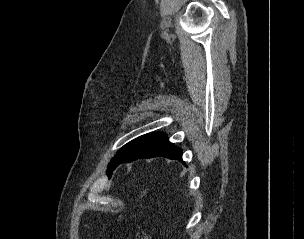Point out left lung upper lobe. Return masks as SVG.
Segmentation results:
<instances>
[{
  "label": "left lung upper lobe",
  "mask_w": 304,
  "mask_h": 239,
  "mask_svg": "<svg viewBox=\"0 0 304 239\" xmlns=\"http://www.w3.org/2000/svg\"><path fill=\"white\" fill-rule=\"evenodd\" d=\"M147 136H149V135L140 136V137L130 141L126 145H124L116 153L115 157L111 159V162L108 165V169H107L106 174L110 177L112 175V171H114L115 168L118 166V163L121 160V158H123L135 145H137L140 141L145 139Z\"/></svg>",
  "instance_id": "obj_1"
}]
</instances>
